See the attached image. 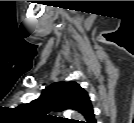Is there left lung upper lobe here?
Wrapping results in <instances>:
<instances>
[{"instance_id":"5c2ea615","label":"left lung upper lobe","mask_w":134,"mask_h":123,"mask_svg":"<svg viewBox=\"0 0 134 123\" xmlns=\"http://www.w3.org/2000/svg\"><path fill=\"white\" fill-rule=\"evenodd\" d=\"M23 107L27 112L44 118H56L47 115L50 111L73 109L81 113L87 123L95 120L88 93L76 82L53 83L42 92L38 99Z\"/></svg>"}]
</instances>
